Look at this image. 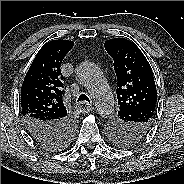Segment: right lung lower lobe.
Masks as SVG:
<instances>
[{
  "mask_svg": "<svg viewBox=\"0 0 184 184\" xmlns=\"http://www.w3.org/2000/svg\"><path fill=\"white\" fill-rule=\"evenodd\" d=\"M24 122L32 138L43 146L62 143L70 131L74 130V122L69 118L49 122L28 115L24 117Z\"/></svg>",
  "mask_w": 184,
  "mask_h": 184,
  "instance_id": "obj_1",
  "label": "right lung lower lobe"
}]
</instances>
